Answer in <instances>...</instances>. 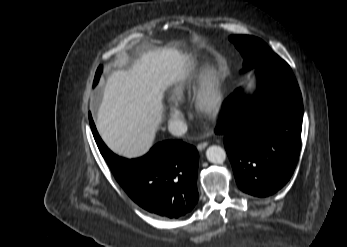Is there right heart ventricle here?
<instances>
[{
  "label": "right heart ventricle",
  "mask_w": 347,
  "mask_h": 247,
  "mask_svg": "<svg viewBox=\"0 0 347 247\" xmlns=\"http://www.w3.org/2000/svg\"><path fill=\"white\" fill-rule=\"evenodd\" d=\"M189 90L188 82H179L172 90L171 98L174 102H182Z\"/></svg>",
  "instance_id": "e07e8e85"
}]
</instances>
